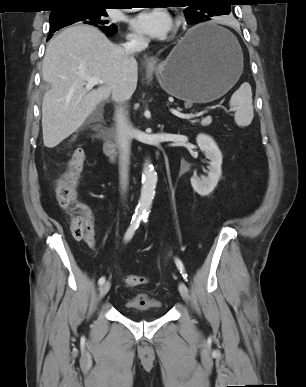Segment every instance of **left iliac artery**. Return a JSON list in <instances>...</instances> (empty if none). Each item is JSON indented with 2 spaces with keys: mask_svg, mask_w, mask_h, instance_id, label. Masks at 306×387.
I'll use <instances>...</instances> for the list:
<instances>
[{
  "mask_svg": "<svg viewBox=\"0 0 306 387\" xmlns=\"http://www.w3.org/2000/svg\"><path fill=\"white\" fill-rule=\"evenodd\" d=\"M143 221H144V222H147V219L144 218ZM175 263H176V266H177L178 270H179L180 273L182 274L183 278L186 279L187 274H186V272H185V268H184V265H183V263L181 262V260L178 259V258H175Z\"/></svg>",
  "mask_w": 306,
  "mask_h": 387,
  "instance_id": "44dca946",
  "label": "left iliac artery"
}]
</instances>
